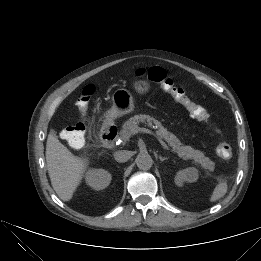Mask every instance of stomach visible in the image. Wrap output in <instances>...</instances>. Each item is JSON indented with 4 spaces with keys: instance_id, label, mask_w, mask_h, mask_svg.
<instances>
[{
    "instance_id": "0dacf381",
    "label": "stomach",
    "mask_w": 261,
    "mask_h": 261,
    "mask_svg": "<svg viewBox=\"0 0 261 261\" xmlns=\"http://www.w3.org/2000/svg\"><path fill=\"white\" fill-rule=\"evenodd\" d=\"M133 87L141 95L150 90V84L144 80L136 81ZM134 110V98L131 92L124 88L117 89L112 95V106L104 115L105 122L111 123L119 117L133 113Z\"/></svg>"
}]
</instances>
